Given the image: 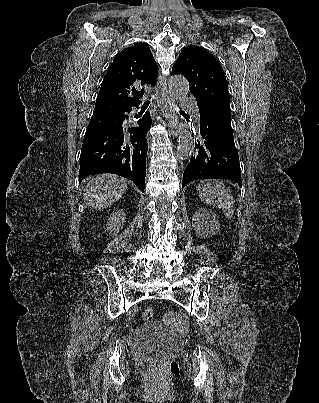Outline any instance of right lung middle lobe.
I'll return each instance as SVG.
<instances>
[{"instance_id":"1","label":"right lung middle lobe","mask_w":319,"mask_h":403,"mask_svg":"<svg viewBox=\"0 0 319 403\" xmlns=\"http://www.w3.org/2000/svg\"><path fill=\"white\" fill-rule=\"evenodd\" d=\"M94 114H102L100 111L94 110Z\"/></svg>"}]
</instances>
